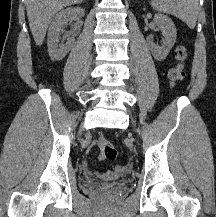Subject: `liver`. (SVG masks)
Masks as SVG:
<instances>
[{
  "label": "liver",
  "instance_id": "6515ba94",
  "mask_svg": "<svg viewBox=\"0 0 216 217\" xmlns=\"http://www.w3.org/2000/svg\"><path fill=\"white\" fill-rule=\"evenodd\" d=\"M83 0H26L31 33L36 45H42L52 17L62 8Z\"/></svg>",
  "mask_w": 216,
  "mask_h": 217
}]
</instances>
